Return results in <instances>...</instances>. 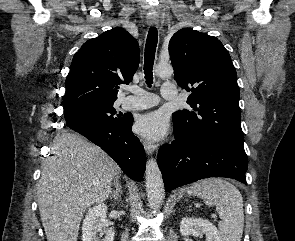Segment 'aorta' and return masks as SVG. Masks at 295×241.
<instances>
[{
	"mask_svg": "<svg viewBox=\"0 0 295 241\" xmlns=\"http://www.w3.org/2000/svg\"><path fill=\"white\" fill-rule=\"evenodd\" d=\"M155 73L161 78L171 77L173 68L170 64H158ZM145 173L149 206L152 209H158L165 198V190L162 174L155 159L151 158L147 161Z\"/></svg>",
	"mask_w": 295,
	"mask_h": 241,
	"instance_id": "762f6f07",
	"label": "aorta"
}]
</instances>
